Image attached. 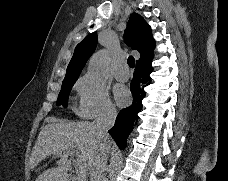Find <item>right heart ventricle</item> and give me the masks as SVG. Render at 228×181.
I'll return each instance as SVG.
<instances>
[{
	"instance_id": "e07e8e85",
	"label": "right heart ventricle",
	"mask_w": 228,
	"mask_h": 181,
	"mask_svg": "<svg viewBox=\"0 0 228 181\" xmlns=\"http://www.w3.org/2000/svg\"><path fill=\"white\" fill-rule=\"evenodd\" d=\"M77 86H78V83L75 84V87H77Z\"/></svg>"
}]
</instances>
